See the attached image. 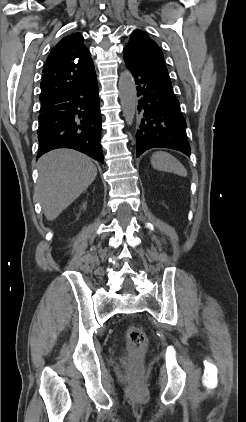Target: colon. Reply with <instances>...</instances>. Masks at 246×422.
<instances>
[{
	"label": "colon",
	"mask_w": 246,
	"mask_h": 422,
	"mask_svg": "<svg viewBox=\"0 0 246 422\" xmlns=\"http://www.w3.org/2000/svg\"><path fill=\"white\" fill-rule=\"evenodd\" d=\"M127 349L130 360L133 364L137 363L147 347V337L143 329L137 325H131L126 332Z\"/></svg>",
	"instance_id": "colon-1"
}]
</instances>
